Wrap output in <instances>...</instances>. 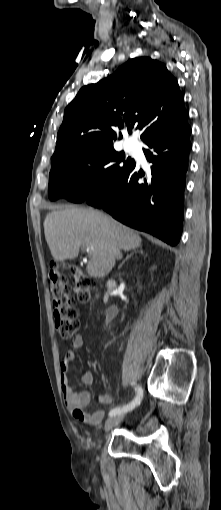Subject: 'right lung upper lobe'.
Here are the masks:
<instances>
[{"label":"right lung upper lobe","mask_w":221,"mask_h":510,"mask_svg":"<svg viewBox=\"0 0 221 510\" xmlns=\"http://www.w3.org/2000/svg\"><path fill=\"white\" fill-rule=\"evenodd\" d=\"M188 114L178 82L166 66L148 57L130 59L96 84L80 89L66 107L51 166L70 152L122 138L118 129H144L141 140L177 130Z\"/></svg>","instance_id":"cb5924a9"}]
</instances>
